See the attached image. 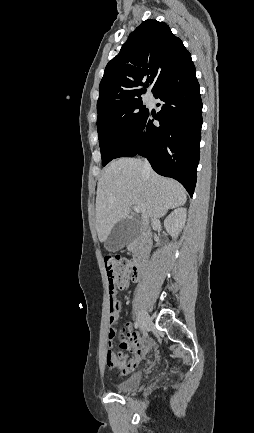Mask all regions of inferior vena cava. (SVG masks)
<instances>
[{"label": "inferior vena cava", "instance_id": "1", "mask_svg": "<svg viewBox=\"0 0 254 433\" xmlns=\"http://www.w3.org/2000/svg\"><path fill=\"white\" fill-rule=\"evenodd\" d=\"M144 168L149 171L151 169V166L147 160L144 161Z\"/></svg>", "mask_w": 254, "mask_h": 433}]
</instances>
